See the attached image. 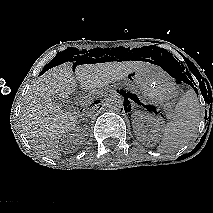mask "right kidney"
<instances>
[{
    "mask_svg": "<svg viewBox=\"0 0 213 213\" xmlns=\"http://www.w3.org/2000/svg\"><path fill=\"white\" fill-rule=\"evenodd\" d=\"M88 132L84 128H77L73 133H69L65 135L64 141L67 144H83L85 136H87ZM68 147H66V150Z\"/></svg>",
    "mask_w": 213,
    "mask_h": 213,
    "instance_id": "obj_1",
    "label": "right kidney"
}]
</instances>
